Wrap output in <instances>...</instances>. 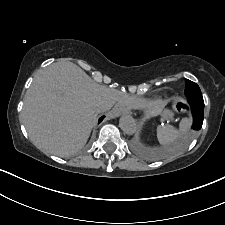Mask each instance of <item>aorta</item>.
<instances>
[{"instance_id":"762f6f07","label":"aorta","mask_w":225,"mask_h":225,"mask_svg":"<svg viewBox=\"0 0 225 225\" xmlns=\"http://www.w3.org/2000/svg\"><path fill=\"white\" fill-rule=\"evenodd\" d=\"M119 127L127 135H133L137 131V124L134 118L130 115L121 116Z\"/></svg>"}]
</instances>
